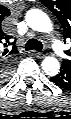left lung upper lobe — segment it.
<instances>
[{
  "instance_id": "obj_1",
  "label": "left lung upper lobe",
  "mask_w": 71,
  "mask_h": 119,
  "mask_svg": "<svg viewBox=\"0 0 71 119\" xmlns=\"http://www.w3.org/2000/svg\"><path fill=\"white\" fill-rule=\"evenodd\" d=\"M45 5L59 19L64 28V39H71V0H42ZM66 54L71 55L69 51ZM64 65L71 66V60H64Z\"/></svg>"
}]
</instances>
